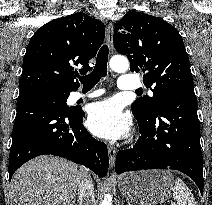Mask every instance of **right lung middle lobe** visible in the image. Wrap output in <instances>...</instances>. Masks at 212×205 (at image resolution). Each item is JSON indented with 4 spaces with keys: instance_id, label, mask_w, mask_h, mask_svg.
Wrapping results in <instances>:
<instances>
[{
    "instance_id": "dd1d6c3e",
    "label": "right lung middle lobe",
    "mask_w": 212,
    "mask_h": 205,
    "mask_svg": "<svg viewBox=\"0 0 212 205\" xmlns=\"http://www.w3.org/2000/svg\"><path fill=\"white\" fill-rule=\"evenodd\" d=\"M66 94L68 95L69 93H66ZM67 95H62V96L56 97V102L59 103L65 110L72 111L74 109L72 107L67 106V104H66V100L68 98Z\"/></svg>"
}]
</instances>
